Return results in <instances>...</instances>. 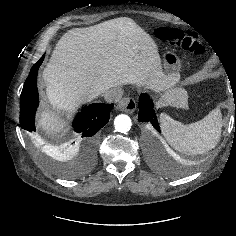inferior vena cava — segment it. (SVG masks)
I'll return each instance as SVG.
<instances>
[{
	"label": "inferior vena cava",
	"mask_w": 236,
	"mask_h": 236,
	"mask_svg": "<svg viewBox=\"0 0 236 236\" xmlns=\"http://www.w3.org/2000/svg\"><path fill=\"white\" fill-rule=\"evenodd\" d=\"M123 95V91L121 88H111L103 92L102 96L104 97L105 101L109 103H116L118 102Z\"/></svg>",
	"instance_id": "1"
}]
</instances>
